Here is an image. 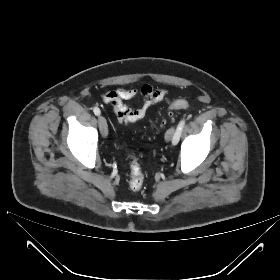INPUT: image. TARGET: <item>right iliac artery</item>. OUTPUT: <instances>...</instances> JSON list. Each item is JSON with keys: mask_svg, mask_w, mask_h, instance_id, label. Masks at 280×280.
Returning a JSON list of instances; mask_svg holds the SVG:
<instances>
[{"mask_svg": "<svg viewBox=\"0 0 280 280\" xmlns=\"http://www.w3.org/2000/svg\"><path fill=\"white\" fill-rule=\"evenodd\" d=\"M93 112H94V114L97 115V116L100 115V113H101V112H100V109H99L98 107H94Z\"/></svg>", "mask_w": 280, "mask_h": 280, "instance_id": "1", "label": "right iliac artery"}]
</instances>
